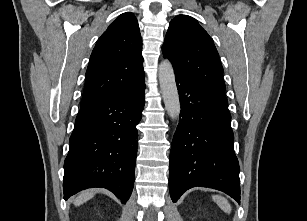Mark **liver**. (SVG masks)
I'll use <instances>...</instances> for the list:
<instances>
[{
    "mask_svg": "<svg viewBox=\"0 0 307 221\" xmlns=\"http://www.w3.org/2000/svg\"><path fill=\"white\" fill-rule=\"evenodd\" d=\"M95 194V191H85L82 192L75 200H74V205L75 206H80L81 204L87 202L90 200Z\"/></svg>",
    "mask_w": 307,
    "mask_h": 221,
    "instance_id": "liver-1",
    "label": "liver"
}]
</instances>
